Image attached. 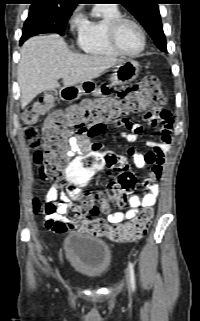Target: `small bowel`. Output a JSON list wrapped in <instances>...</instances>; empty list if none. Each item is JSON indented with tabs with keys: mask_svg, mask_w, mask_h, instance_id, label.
<instances>
[{
	"mask_svg": "<svg viewBox=\"0 0 200 321\" xmlns=\"http://www.w3.org/2000/svg\"><path fill=\"white\" fill-rule=\"evenodd\" d=\"M141 89L140 83H132L131 86L114 87V84L102 83L98 92L101 97L123 98L129 96L130 93H135ZM145 120L152 127H159V141H150L147 143L150 148L145 153L138 152L134 149L128 150L133 164L137 168L150 166L144 178V191L140 195H132L129 199V209L126 211L107 212V220L113 225L121 224L125 221L135 218L140 208L152 207L159 195L160 188L156 180L161 177L165 156L171 147V134L173 119L169 111L165 109L150 110L145 114ZM124 131L120 135L129 140L134 141L141 131V126L138 123L131 121H123ZM68 157L74 154H89L101 150V144L91 141L86 136H77L69 138ZM113 171H108V176H112ZM62 182H55L45 194V205L54 206V211L45 214V226L48 230L54 233H65L68 230L74 229L75 224L69 220L66 215L73 206V200L76 198H66Z\"/></svg>",
	"mask_w": 200,
	"mask_h": 321,
	"instance_id": "1",
	"label": "small bowel"
}]
</instances>
